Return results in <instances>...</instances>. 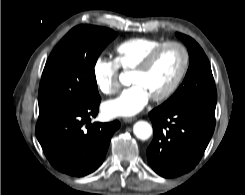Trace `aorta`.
Returning a JSON list of instances; mask_svg holds the SVG:
<instances>
[{
	"label": "aorta",
	"mask_w": 245,
	"mask_h": 195,
	"mask_svg": "<svg viewBox=\"0 0 245 195\" xmlns=\"http://www.w3.org/2000/svg\"><path fill=\"white\" fill-rule=\"evenodd\" d=\"M133 132L137 138L146 140L152 135V127L146 121H138L133 126Z\"/></svg>",
	"instance_id": "1"
}]
</instances>
